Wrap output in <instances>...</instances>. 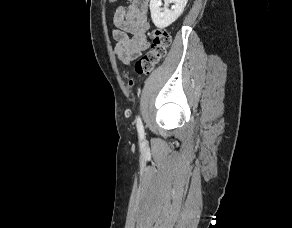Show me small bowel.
I'll return each mask as SVG.
<instances>
[{
    "label": "small bowel",
    "mask_w": 292,
    "mask_h": 228,
    "mask_svg": "<svg viewBox=\"0 0 292 228\" xmlns=\"http://www.w3.org/2000/svg\"><path fill=\"white\" fill-rule=\"evenodd\" d=\"M148 3L149 0H128L126 5L117 7L114 12V51L125 65H130L149 47Z\"/></svg>",
    "instance_id": "c3829d8e"
}]
</instances>
